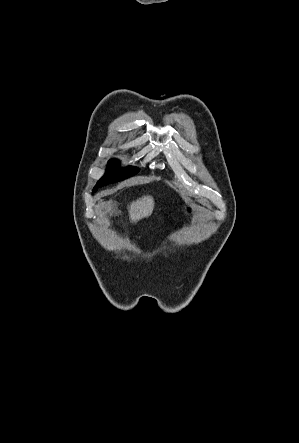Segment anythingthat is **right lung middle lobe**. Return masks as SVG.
<instances>
[{"mask_svg":"<svg viewBox=\"0 0 299 443\" xmlns=\"http://www.w3.org/2000/svg\"><path fill=\"white\" fill-rule=\"evenodd\" d=\"M118 163L115 160H110L109 166L107 168L106 174L101 178V180L94 187L93 192L97 190V188L107 185L109 183L121 181L123 179L129 178L139 172V169L136 167H127L124 169L117 168Z\"/></svg>","mask_w":299,"mask_h":443,"instance_id":"right-lung-middle-lobe-1","label":"right lung middle lobe"}]
</instances>
